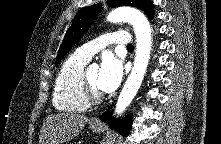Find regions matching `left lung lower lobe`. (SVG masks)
Instances as JSON below:
<instances>
[{"label": "left lung lower lobe", "mask_w": 221, "mask_h": 144, "mask_svg": "<svg viewBox=\"0 0 221 144\" xmlns=\"http://www.w3.org/2000/svg\"><path fill=\"white\" fill-rule=\"evenodd\" d=\"M112 114V110H108L101 115L100 119L102 121H107L111 128H115V130L119 131L122 135H126L131 127V118L124 117L120 121V119H115Z\"/></svg>", "instance_id": "left-lung-lower-lobe-1"}]
</instances>
